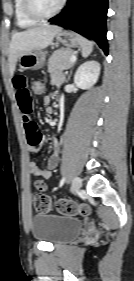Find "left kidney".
I'll list each match as a JSON object with an SVG mask.
<instances>
[{"label": "left kidney", "instance_id": "5707ae66", "mask_svg": "<svg viewBox=\"0 0 134 281\" xmlns=\"http://www.w3.org/2000/svg\"><path fill=\"white\" fill-rule=\"evenodd\" d=\"M99 74L100 64L97 61H87L77 69L74 83L81 89H89L97 82Z\"/></svg>", "mask_w": 134, "mask_h": 281}]
</instances>
